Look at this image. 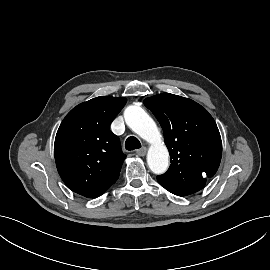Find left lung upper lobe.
<instances>
[{
	"label": "left lung upper lobe",
	"instance_id": "5c2ea615",
	"mask_svg": "<svg viewBox=\"0 0 270 270\" xmlns=\"http://www.w3.org/2000/svg\"><path fill=\"white\" fill-rule=\"evenodd\" d=\"M159 121L171 156L166 173L157 176L169 192L186 196L201 190L220 164L222 142L217 125L201 105L170 93L146 98Z\"/></svg>",
	"mask_w": 270,
	"mask_h": 270
}]
</instances>
